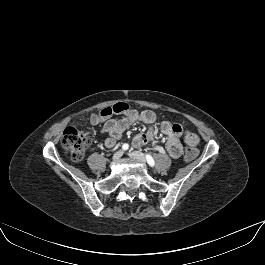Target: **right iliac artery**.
I'll return each instance as SVG.
<instances>
[{
  "mask_svg": "<svg viewBox=\"0 0 265 265\" xmlns=\"http://www.w3.org/2000/svg\"><path fill=\"white\" fill-rule=\"evenodd\" d=\"M122 149H123L124 151L128 150V149H129V145L126 144V143L123 144Z\"/></svg>",
  "mask_w": 265,
  "mask_h": 265,
  "instance_id": "obj_1",
  "label": "right iliac artery"
}]
</instances>
